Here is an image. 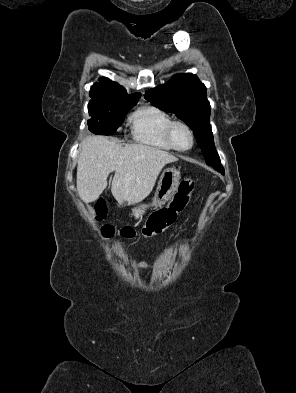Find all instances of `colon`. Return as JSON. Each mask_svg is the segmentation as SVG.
I'll use <instances>...</instances> for the list:
<instances>
[{"mask_svg":"<svg viewBox=\"0 0 296 393\" xmlns=\"http://www.w3.org/2000/svg\"><path fill=\"white\" fill-rule=\"evenodd\" d=\"M193 189V180L187 178L182 179L177 193L174 195L172 200L166 206H163L153 212L141 228L136 229L130 226L123 227L119 230V234L124 238L132 239L135 237L149 238L162 233L175 222L178 214L187 204ZM105 213V204L100 203L97 207L98 219L103 218ZM101 233L105 237H111L114 235L115 229L111 226H104L101 229Z\"/></svg>","mask_w":296,"mask_h":393,"instance_id":"colon-1","label":"colon"}]
</instances>
